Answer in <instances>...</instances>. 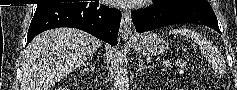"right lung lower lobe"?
<instances>
[{
    "instance_id": "1",
    "label": "right lung lower lobe",
    "mask_w": 237,
    "mask_h": 90,
    "mask_svg": "<svg viewBox=\"0 0 237 90\" xmlns=\"http://www.w3.org/2000/svg\"><path fill=\"white\" fill-rule=\"evenodd\" d=\"M121 13L95 2L37 5L31 21L26 46L39 33L59 27H72L117 45Z\"/></svg>"
}]
</instances>
